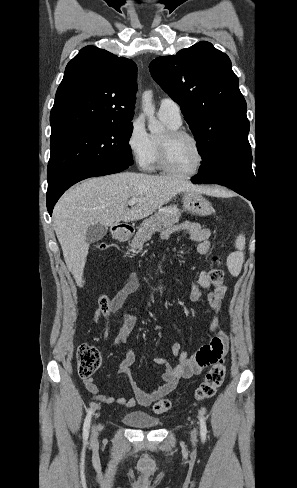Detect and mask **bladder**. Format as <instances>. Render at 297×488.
<instances>
[{
	"instance_id": "1",
	"label": "bladder",
	"mask_w": 297,
	"mask_h": 488,
	"mask_svg": "<svg viewBox=\"0 0 297 488\" xmlns=\"http://www.w3.org/2000/svg\"><path fill=\"white\" fill-rule=\"evenodd\" d=\"M122 420L126 425L140 429H152L161 425V422L157 418L142 411L125 413L122 416Z\"/></svg>"
}]
</instances>
